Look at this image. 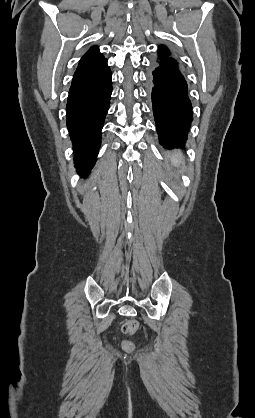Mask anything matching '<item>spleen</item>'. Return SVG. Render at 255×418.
Listing matches in <instances>:
<instances>
[{"instance_id":"spleen-1","label":"spleen","mask_w":255,"mask_h":418,"mask_svg":"<svg viewBox=\"0 0 255 418\" xmlns=\"http://www.w3.org/2000/svg\"><path fill=\"white\" fill-rule=\"evenodd\" d=\"M171 164L174 167H179L183 163V158L179 153H174L170 158Z\"/></svg>"}]
</instances>
